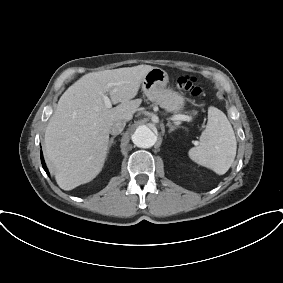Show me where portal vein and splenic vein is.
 <instances>
[{"mask_svg":"<svg viewBox=\"0 0 283 283\" xmlns=\"http://www.w3.org/2000/svg\"><path fill=\"white\" fill-rule=\"evenodd\" d=\"M111 86H112V84H108V87H111ZM103 100H104L105 106L107 108H111L112 107L111 100L109 99V97L107 95L103 96ZM175 119L176 120H182V121H190L191 117H189L187 115H176Z\"/></svg>","mask_w":283,"mask_h":283,"instance_id":"obj_1","label":"portal vein and splenic vein"}]
</instances>
